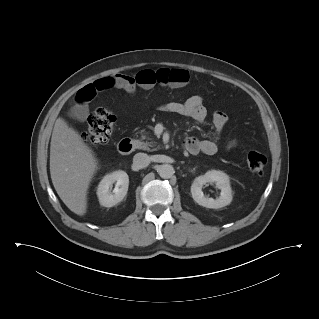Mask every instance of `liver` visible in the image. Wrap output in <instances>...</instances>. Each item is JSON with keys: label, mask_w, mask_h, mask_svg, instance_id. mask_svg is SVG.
Returning <instances> with one entry per match:
<instances>
[{"label": "liver", "mask_w": 319, "mask_h": 319, "mask_svg": "<svg viewBox=\"0 0 319 319\" xmlns=\"http://www.w3.org/2000/svg\"><path fill=\"white\" fill-rule=\"evenodd\" d=\"M50 174L64 204L75 214L87 211V191L97 170V159L81 135L58 118L50 143Z\"/></svg>", "instance_id": "obj_1"}]
</instances>
